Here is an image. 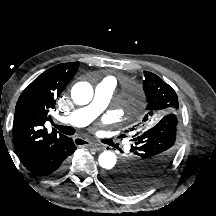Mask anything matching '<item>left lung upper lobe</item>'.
Segmentation results:
<instances>
[{
	"mask_svg": "<svg viewBox=\"0 0 216 216\" xmlns=\"http://www.w3.org/2000/svg\"><path fill=\"white\" fill-rule=\"evenodd\" d=\"M144 76L147 112L138 124L143 127L130 129V152L119 168L107 173L105 181L124 195L142 192L156 183L172 164L181 138V108L174 89L151 72L145 71Z\"/></svg>",
	"mask_w": 216,
	"mask_h": 216,
	"instance_id": "5c2ea615",
	"label": "left lung upper lobe"
}]
</instances>
